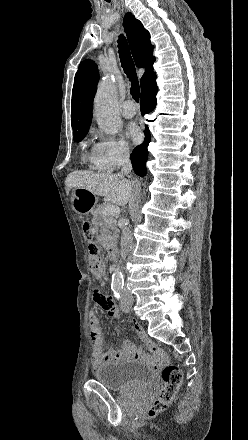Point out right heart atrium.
I'll use <instances>...</instances> for the list:
<instances>
[{"label":"right heart atrium","mask_w":248,"mask_h":440,"mask_svg":"<svg viewBox=\"0 0 248 440\" xmlns=\"http://www.w3.org/2000/svg\"><path fill=\"white\" fill-rule=\"evenodd\" d=\"M94 152L98 165L106 171L118 168L130 156V147L120 137L100 136V140L94 145Z\"/></svg>","instance_id":"d8ad5b80"}]
</instances>
